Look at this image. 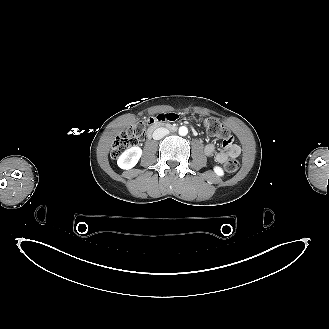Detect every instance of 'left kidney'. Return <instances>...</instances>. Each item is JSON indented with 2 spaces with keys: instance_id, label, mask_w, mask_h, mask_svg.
I'll return each mask as SVG.
<instances>
[{
  "instance_id": "left-kidney-1",
  "label": "left kidney",
  "mask_w": 329,
  "mask_h": 329,
  "mask_svg": "<svg viewBox=\"0 0 329 329\" xmlns=\"http://www.w3.org/2000/svg\"><path fill=\"white\" fill-rule=\"evenodd\" d=\"M214 172L218 176H223L224 175L223 169L221 167H219V166H214Z\"/></svg>"
}]
</instances>
